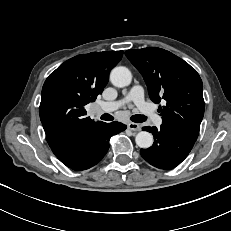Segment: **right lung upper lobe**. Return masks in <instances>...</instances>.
I'll return each instance as SVG.
<instances>
[{"instance_id":"right-lung-upper-lobe-1","label":"right lung upper lobe","mask_w":231,"mask_h":231,"mask_svg":"<svg viewBox=\"0 0 231 231\" xmlns=\"http://www.w3.org/2000/svg\"><path fill=\"white\" fill-rule=\"evenodd\" d=\"M122 51L92 52L75 56L53 71L41 93L40 119L47 142L61 160L85 135L102 126L85 117L84 106L102 93L110 70L121 60Z\"/></svg>"}]
</instances>
